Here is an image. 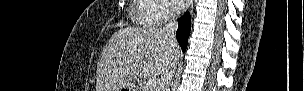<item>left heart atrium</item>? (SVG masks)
<instances>
[{
	"mask_svg": "<svg viewBox=\"0 0 304 91\" xmlns=\"http://www.w3.org/2000/svg\"><path fill=\"white\" fill-rule=\"evenodd\" d=\"M170 2L177 11H183L189 5V0H171Z\"/></svg>",
	"mask_w": 304,
	"mask_h": 91,
	"instance_id": "39dd6f15",
	"label": "left heart atrium"
}]
</instances>
